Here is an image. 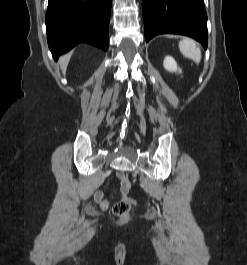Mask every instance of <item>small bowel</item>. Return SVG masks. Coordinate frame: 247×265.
<instances>
[{
  "label": "small bowel",
  "mask_w": 247,
  "mask_h": 265,
  "mask_svg": "<svg viewBox=\"0 0 247 265\" xmlns=\"http://www.w3.org/2000/svg\"><path fill=\"white\" fill-rule=\"evenodd\" d=\"M122 199L128 200L129 202H133L131 199L127 197V191L122 190ZM94 200L96 203L100 205L102 209H107L110 205V202L104 198V193L102 191H96L94 193Z\"/></svg>",
  "instance_id": "obj_1"
}]
</instances>
